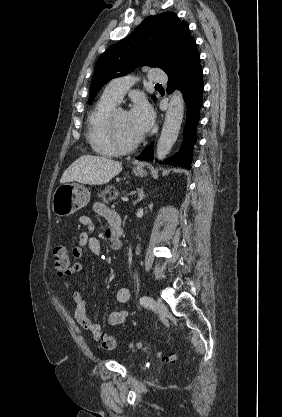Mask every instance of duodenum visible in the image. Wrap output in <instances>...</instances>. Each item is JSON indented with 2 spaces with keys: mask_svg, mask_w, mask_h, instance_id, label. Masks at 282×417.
Listing matches in <instances>:
<instances>
[{
  "mask_svg": "<svg viewBox=\"0 0 282 417\" xmlns=\"http://www.w3.org/2000/svg\"><path fill=\"white\" fill-rule=\"evenodd\" d=\"M121 233H122V231H121V229H119V230H118V234H117V238H118V239H120ZM112 246H113V248H114V249H118V248H120V247H121V243H120V242L115 241V242H113Z\"/></svg>",
  "mask_w": 282,
  "mask_h": 417,
  "instance_id": "obj_1",
  "label": "duodenum"
}]
</instances>
